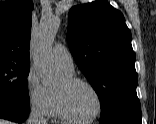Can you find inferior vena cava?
<instances>
[{
  "instance_id": "inferior-vena-cava-1",
  "label": "inferior vena cava",
  "mask_w": 156,
  "mask_h": 124,
  "mask_svg": "<svg viewBox=\"0 0 156 124\" xmlns=\"http://www.w3.org/2000/svg\"><path fill=\"white\" fill-rule=\"evenodd\" d=\"M27 124H47V121L44 118V116L41 114L39 109L35 106H32L31 113L27 120Z\"/></svg>"
}]
</instances>
